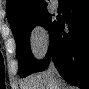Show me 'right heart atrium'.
Listing matches in <instances>:
<instances>
[{
	"label": "right heart atrium",
	"mask_w": 89,
	"mask_h": 89,
	"mask_svg": "<svg viewBox=\"0 0 89 89\" xmlns=\"http://www.w3.org/2000/svg\"><path fill=\"white\" fill-rule=\"evenodd\" d=\"M29 44L32 53L37 58H42L46 55L50 46V39L47 30L44 26L35 25L29 36Z\"/></svg>",
	"instance_id": "obj_1"
}]
</instances>
